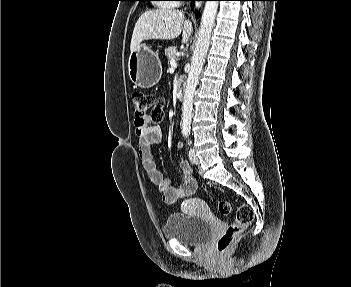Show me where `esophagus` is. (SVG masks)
Listing matches in <instances>:
<instances>
[{"mask_svg": "<svg viewBox=\"0 0 351 287\" xmlns=\"http://www.w3.org/2000/svg\"><path fill=\"white\" fill-rule=\"evenodd\" d=\"M200 5H201V1L200 0L195 1V8H199Z\"/></svg>", "mask_w": 351, "mask_h": 287, "instance_id": "esophagus-1", "label": "esophagus"}]
</instances>
